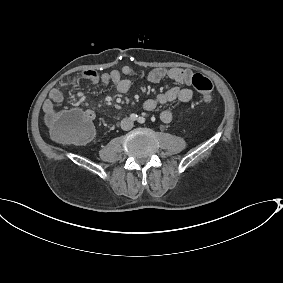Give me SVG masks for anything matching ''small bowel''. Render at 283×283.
<instances>
[{
	"label": "small bowel",
	"instance_id": "c3829d8e",
	"mask_svg": "<svg viewBox=\"0 0 283 283\" xmlns=\"http://www.w3.org/2000/svg\"><path fill=\"white\" fill-rule=\"evenodd\" d=\"M133 70L129 66H124L120 71L113 70L98 74L94 70L83 71L81 77L94 84L101 83L105 86L113 85L120 94H126L132 85ZM193 73L187 69L181 68H154L148 75V81L156 83L162 79H169L180 85L189 86L192 84ZM193 93L188 87L173 86L167 91L158 94L155 98L147 99L143 107L146 111H154L158 107L179 101L182 103L189 102ZM64 99L63 93L54 88L49 92L47 100L44 102L43 110L47 116L54 113V106L60 104ZM86 114L92 119L94 114L91 110H87ZM160 119L164 123H169L173 119V113L169 109L160 112Z\"/></svg>",
	"mask_w": 283,
	"mask_h": 283
}]
</instances>
